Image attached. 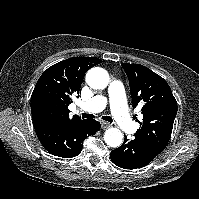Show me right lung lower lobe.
Wrapping results in <instances>:
<instances>
[{
	"label": "right lung lower lobe",
	"mask_w": 199,
	"mask_h": 199,
	"mask_svg": "<svg viewBox=\"0 0 199 199\" xmlns=\"http://www.w3.org/2000/svg\"><path fill=\"white\" fill-rule=\"evenodd\" d=\"M34 128L39 141L50 154L71 158L82 151L83 141L100 129V123L87 119L69 124L42 123Z\"/></svg>",
	"instance_id": "obj_1"
}]
</instances>
